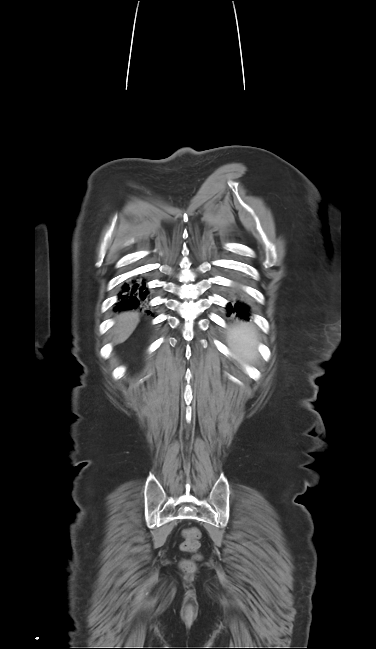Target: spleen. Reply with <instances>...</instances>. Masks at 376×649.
<instances>
[{"label": "spleen", "instance_id": "obj_1", "mask_svg": "<svg viewBox=\"0 0 376 649\" xmlns=\"http://www.w3.org/2000/svg\"><path fill=\"white\" fill-rule=\"evenodd\" d=\"M230 345L237 356L250 360L256 355L257 330L253 325L240 323L229 332Z\"/></svg>", "mask_w": 376, "mask_h": 649}]
</instances>
